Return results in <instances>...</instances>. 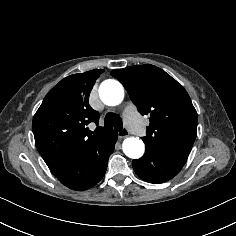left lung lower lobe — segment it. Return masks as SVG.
<instances>
[{
	"label": "left lung lower lobe",
	"instance_id": "0a47b994",
	"mask_svg": "<svg viewBox=\"0 0 236 236\" xmlns=\"http://www.w3.org/2000/svg\"><path fill=\"white\" fill-rule=\"evenodd\" d=\"M187 158L161 148L149 149L142 158L133 160L135 173L144 181L160 184L176 176Z\"/></svg>",
	"mask_w": 236,
	"mask_h": 236
}]
</instances>
